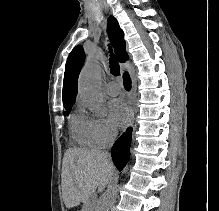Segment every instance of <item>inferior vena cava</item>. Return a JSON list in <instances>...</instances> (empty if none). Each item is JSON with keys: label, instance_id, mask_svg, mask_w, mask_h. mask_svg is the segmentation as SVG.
I'll use <instances>...</instances> for the list:
<instances>
[{"label": "inferior vena cava", "instance_id": "obj_1", "mask_svg": "<svg viewBox=\"0 0 219 211\" xmlns=\"http://www.w3.org/2000/svg\"><path fill=\"white\" fill-rule=\"evenodd\" d=\"M113 139H115V135H111V141H113Z\"/></svg>", "mask_w": 219, "mask_h": 211}]
</instances>
